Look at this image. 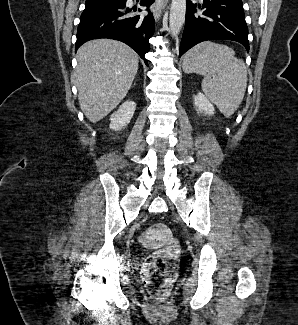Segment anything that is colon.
Wrapping results in <instances>:
<instances>
[{"label": "colon", "mask_w": 298, "mask_h": 325, "mask_svg": "<svg viewBox=\"0 0 298 325\" xmlns=\"http://www.w3.org/2000/svg\"><path fill=\"white\" fill-rule=\"evenodd\" d=\"M140 243L153 252L142 267V279L149 292L158 299L169 294L176 277L179 244L170 229L164 224H154L145 230Z\"/></svg>", "instance_id": "1"}]
</instances>
